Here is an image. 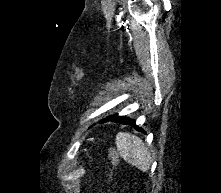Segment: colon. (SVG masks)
Wrapping results in <instances>:
<instances>
[{"label": "colon", "instance_id": "1", "mask_svg": "<svg viewBox=\"0 0 221 193\" xmlns=\"http://www.w3.org/2000/svg\"><path fill=\"white\" fill-rule=\"evenodd\" d=\"M107 153H108V157L111 162V167H110L108 174H107V180H108V182H111L113 179V176H114V171L119 164V157H118V154L115 151V149L112 147L107 148Z\"/></svg>", "mask_w": 221, "mask_h": 193}]
</instances>
